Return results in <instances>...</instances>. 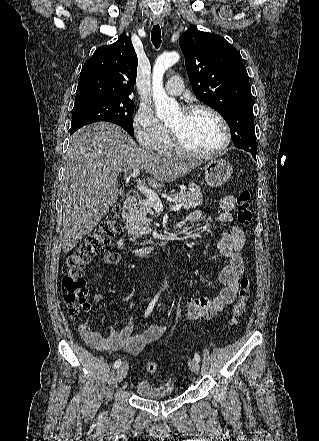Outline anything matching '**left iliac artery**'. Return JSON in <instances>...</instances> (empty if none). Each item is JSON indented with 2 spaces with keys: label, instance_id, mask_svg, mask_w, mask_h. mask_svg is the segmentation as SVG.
I'll use <instances>...</instances> for the list:
<instances>
[{
  "label": "left iliac artery",
  "instance_id": "obj_1",
  "mask_svg": "<svg viewBox=\"0 0 319 441\" xmlns=\"http://www.w3.org/2000/svg\"><path fill=\"white\" fill-rule=\"evenodd\" d=\"M194 358L197 362H200V355L198 353H195Z\"/></svg>",
  "mask_w": 319,
  "mask_h": 441
}]
</instances>
